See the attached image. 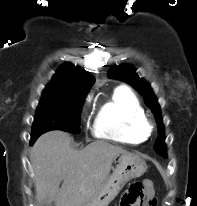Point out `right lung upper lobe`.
<instances>
[{
  "instance_id": "right-lung-upper-lobe-1",
  "label": "right lung upper lobe",
  "mask_w": 197,
  "mask_h": 206,
  "mask_svg": "<svg viewBox=\"0 0 197 206\" xmlns=\"http://www.w3.org/2000/svg\"><path fill=\"white\" fill-rule=\"evenodd\" d=\"M94 81L95 79L85 70L67 63L59 68L43 92L86 95Z\"/></svg>"
}]
</instances>
